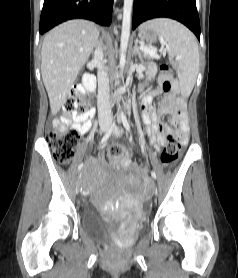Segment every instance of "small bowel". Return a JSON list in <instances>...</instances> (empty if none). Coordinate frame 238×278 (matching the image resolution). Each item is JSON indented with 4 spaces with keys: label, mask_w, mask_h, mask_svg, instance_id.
<instances>
[{
    "label": "small bowel",
    "mask_w": 238,
    "mask_h": 278,
    "mask_svg": "<svg viewBox=\"0 0 238 278\" xmlns=\"http://www.w3.org/2000/svg\"><path fill=\"white\" fill-rule=\"evenodd\" d=\"M156 72L155 65L149 66L148 74L153 76ZM163 92L162 81L160 84L148 91L141 100L142 120L146 126V134L150 144L155 149H159L166 143L167 135L172 132L171 127L162 121L164 115H171L170 125L175 129V134L182 144H186L189 140V126L186 120V93L180 92L177 86H174L168 93L165 92L163 98L159 101L158 107L152 106L154 95ZM94 111L90 110L87 113H72L62 114L59 118L53 121V125L57 128H66L72 125L80 134H86L92 127V117ZM118 164L122 167L131 166L129 156Z\"/></svg>",
    "instance_id": "1"
}]
</instances>
